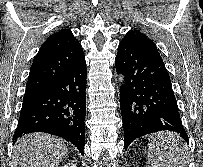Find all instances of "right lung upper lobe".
<instances>
[{"instance_id":"1","label":"right lung upper lobe","mask_w":203,"mask_h":167,"mask_svg":"<svg viewBox=\"0 0 203 167\" xmlns=\"http://www.w3.org/2000/svg\"><path fill=\"white\" fill-rule=\"evenodd\" d=\"M83 57V49L69 29L52 34L42 44L31 65L25 94L45 89Z\"/></svg>"}]
</instances>
